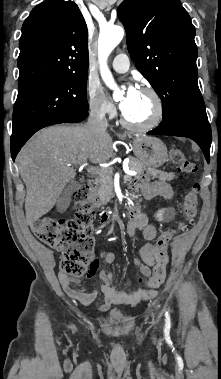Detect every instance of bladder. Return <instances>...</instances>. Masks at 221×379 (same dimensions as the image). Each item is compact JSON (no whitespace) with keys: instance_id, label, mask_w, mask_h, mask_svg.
<instances>
[{"instance_id":"1","label":"bladder","mask_w":221,"mask_h":379,"mask_svg":"<svg viewBox=\"0 0 221 379\" xmlns=\"http://www.w3.org/2000/svg\"><path fill=\"white\" fill-rule=\"evenodd\" d=\"M108 317L110 320L116 322L124 321L126 319V315L122 311L117 309L110 311Z\"/></svg>"}]
</instances>
